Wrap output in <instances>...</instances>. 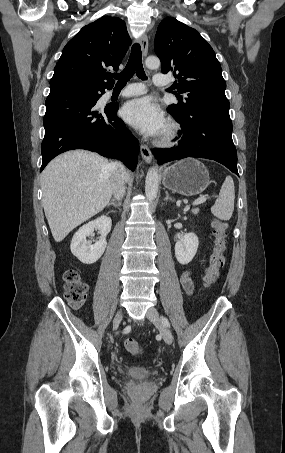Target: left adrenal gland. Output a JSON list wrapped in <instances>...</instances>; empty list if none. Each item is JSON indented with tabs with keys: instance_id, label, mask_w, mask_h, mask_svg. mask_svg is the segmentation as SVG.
Wrapping results in <instances>:
<instances>
[{
	"instance_id": "left-adrenal-gland-1",
	"label": "left adrenal gland",
	"mask_w": 285,
	"mask_h": 453,
	"mask_svg": "<svg viewBox=\"0 0 285 453\" xmlns=\"http://www.w3.org/2000/svg\"><path fill=\"white\" fill-rule=\"evenodd\" d=\"M171 201L173 202V199L169 196L168 192L166 191V197L164 198V201Z\"/></svg>"
}]
</instances>
